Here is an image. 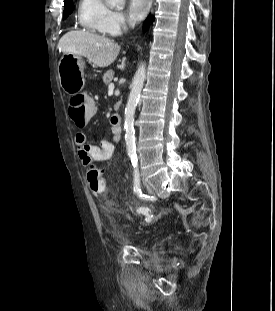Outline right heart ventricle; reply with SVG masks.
I'll return each mask as SVG.
<instances>
[{
    "label": "right heart ventricle",
    "mask_w": 275,
    "mask_h": 311,
    "mask_svg": "<svg viewBox=\"0 0 275 311\" xmlns=\"http://www.w3.org/2000/svg\"><path fill=\"white\" fill-rule=\"evenodd\" d=\"M110 12L105 0H79L77 22L87 32L106 35V21Z\"/></svg>",
    "instance_id": "1"
}]
</instances>
